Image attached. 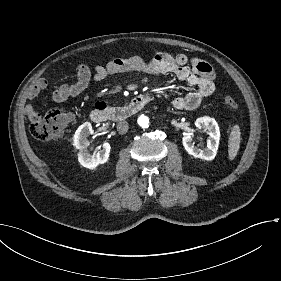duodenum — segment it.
<instances>
[{"mask_svg":"<svg viewBox=\"0 0 281 281\" xmlns=\"http://www.w3.org/2000/svg\"><path fill=\"white\" fill-rule=\"evenodd\" d=\"M148 101H150L148 95H138L125 107H109L104 104H97L90 113V119L94 123L125 121Z\"/></svg>","mask_w":281,"mask_h":281,"instance_id":"duodenum-1","label":"duodenum"}]
</instances>
